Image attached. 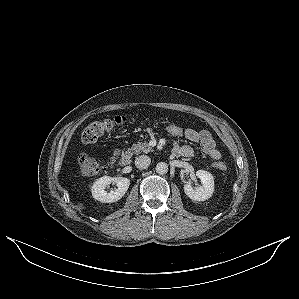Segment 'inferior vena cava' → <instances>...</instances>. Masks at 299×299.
<instances>
[{
  "mask_svg": "<svg viewBox=\"0 0 299 299\" xmlns=\"http://www.w3.org/2000/svg\"><path fill=\"white\" fill-rule=\"evenodd\" d=\"M151 163V158L146 155H141L135 159V166L139 169H146Z\"/></svg>",
  "mask_w": 299,
  "mask_h": 299,
  "instance_id": "1",
  "label": "inferior vena cava"
}]
</instances>
